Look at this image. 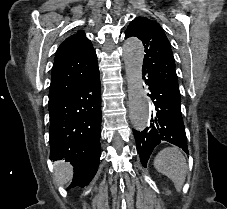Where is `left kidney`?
I'll return each instance as SVG.
<instances>
[{"label": "left kidney", "mask_w": 227, "mask_h": 209, "mask_svg": "<svg viewBox=\"0 0 227 209\" xmlns=\"http://www.w3.org/2000/svg\"><path fill=\"white\" fill-rule=\"evenodd\" d=\"M167 195H171L170 191H166Z\"/></svg>", "instance_id": "5707ae66"}]
</instances>
